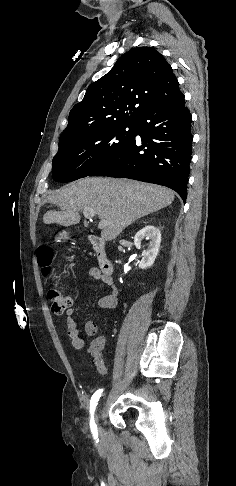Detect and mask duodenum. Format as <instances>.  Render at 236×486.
I'll list each match as a JSON object with an SVG mask.
<instances>
[{
    "mask_svg": "<svg viewBox=\"0 0 236 486\" xmlns=\"http://www.w3.org/2000/svg\"><path fill=\"white\" fill-rule=\"evenodd\" d=\"M88 239L96 255L101 272L106 276H111L113 273V264L107 256L105 242L96 236H89Z\"/></svg>",
    "mask_w": 236,
    "mask_h": 486,
    "instance_id": "duodenum-1",
    "label": "duodenum"
}]
</instances>
